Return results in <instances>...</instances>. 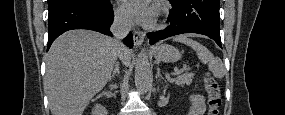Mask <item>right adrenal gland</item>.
Instances as JSON below:
<instances>
[{"instance_id": "obj_1", "label": "right adrenal gland", "mask_w": 285, "mask_h": 115, "mask_svg": "<svg viewBox=\"0 0 285 115\" xmlns=\"http://www.w3.org/2000/svg\"><path fill=\"white\" fill-rule=\"evenodd\" d=\"M119 73H120V70H119V63L117 62V63L115 64L114 71L112 72V75H111L110 78H109V81H111L112 78H114L115 75H117V74H119Z\"/></svg>"}]
</instances>
